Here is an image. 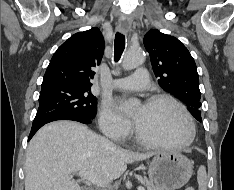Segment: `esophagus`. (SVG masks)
<instances>
[{
	"instance_id": "34e87169",
	"label": "esophagus",
	"mask_w": 234,
	"mask_h": 190,
	"mask_svg": "<svg viewBox=\"0 0 234 190\" xmlns=\"http://www.w3.org/2000/svg\"><path fill=\"white\" fill-rule=\"evenodd\" d=\"M130 27L131 24L126 18H123L122 21L119 23V28L121 31L128 32L130 30Z\"/></svg>"
}]
</instances>
